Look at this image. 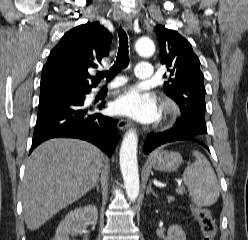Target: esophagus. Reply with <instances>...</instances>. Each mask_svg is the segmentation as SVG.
<instances>
[{
	"instance_id": "1",
	"label": "esophagus",
	"mask_w": 248,
	"mask_h": 240,
	"mask_svg": "<svg viewBox=\"0 0 248 240\" xmlns=\"http://www.w3.org/2000/svg\"><path fill=\"white\" fill-rule=\"evenodd\" d=\"M123 26L125 30L132 29V17L130 15L123 16ZM131 126H132L131 122L124 119H120L118 122V128L122 131Z\"/></svg>"
}]
</instances>
